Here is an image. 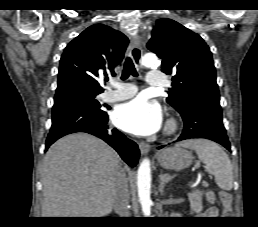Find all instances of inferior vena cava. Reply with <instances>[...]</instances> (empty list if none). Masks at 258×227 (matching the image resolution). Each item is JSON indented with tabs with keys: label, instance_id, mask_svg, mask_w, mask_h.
<instances>
[{
	"label": "inferior vena cava",
	"instance_id": "inferior-vena-cava-1",
	"mask_svg": "<svg viewBox=\"0 0 258 227\" xmlns=\"http://www.w3.org/2000/svg\"><path fill=\"white\" fill-rule=\"evenodd\" d=\"M115 180L114 207L120 217H130L128 209L130 193L124 170L118 169L115 175Z\"/></svg>",
	"mask_w": 258,
	"mask_h": 227
}]
</instances>
